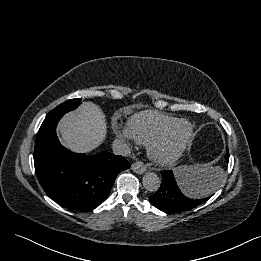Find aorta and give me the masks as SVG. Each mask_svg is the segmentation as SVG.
<instances>
[{
  "label": "aorta",
  "instance_id": "762f6f07",
  "mask_svg": "<svg viewBox=\"0 0 261 261\" xmlns=\"http://www.w3.org/2000/svg\"><path fill=\"white\" fill-rule=\"evenodd\" d=\"M161 184L159 176L154 172H147L143 176V186L150 192H155L159 189Z\"/></svg>",
  "mask_w": 261,
  "mask_h": 261
}]
</instances>
